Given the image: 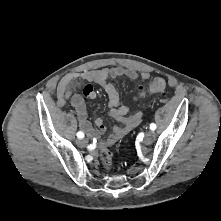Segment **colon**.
<instances>
[{"instance_id": "obj_1", "label": "colon", "mask_w": 221, "mask_h": 221, "mask_svg": "<svg viewBox=\"0 0 221 221\" xmlns=\"http://www.w3.org/2000/svg\"><path fill=\"white\" fill-rule=\"evenodd\" d=\"M166 88V82L162 78H155L149 85L147 90L141 89L139 92L140 96H145L146 93L158 94L162 93ZM100 158L102 163L106 168H109L112 165L113 153L106 147H103L100 151Z\"/></svg>"}]
</instances>
